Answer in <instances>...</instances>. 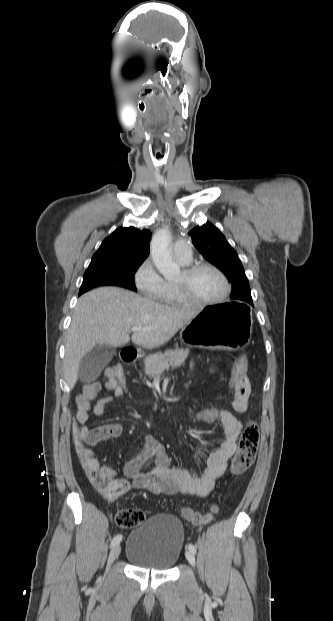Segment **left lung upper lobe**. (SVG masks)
Segmentation results:
<instances>
[{
	"label": "left lung upper lobe",
	"mask_w": 333,
	"mask_h": 621,
	"mask_svg": "<svg viewBox=\"0 0 333 621\" xmlns=\"http://www.w3.org/2000/svg\"><path fill=\"white\" fill-rule=\"evenodd\" d=\"M189 235L204 258L229 276L232 283L230 298L253 305L248 279L237 252L219 229L207 222L193 228Z\"/></svg>",
	"instance_id": "obj_1"
}]
</instances>
